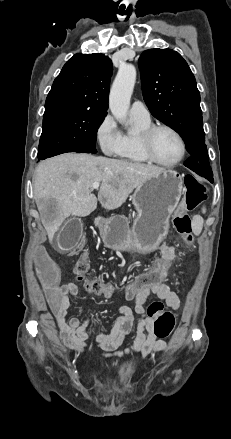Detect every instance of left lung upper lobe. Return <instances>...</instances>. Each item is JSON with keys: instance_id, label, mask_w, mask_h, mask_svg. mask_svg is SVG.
<instances>
[{"instance_id": "1", "label": "left lung upper lobe", "mask_w": 231, "mask_h": 439, "mask_svg": "<svg viewBox=\"0 0 231 439\" xmlns=\"http://www.w3.org/2000/svg\"><path fill=\"white\" fill-rule=\"evenodd\" d=\"M142 92L151 114L177 131L191 155L184 163L213 182L203 130L200 93L183 57L172 49H149L138 61Z\"/></svg>"}]
</instances>
